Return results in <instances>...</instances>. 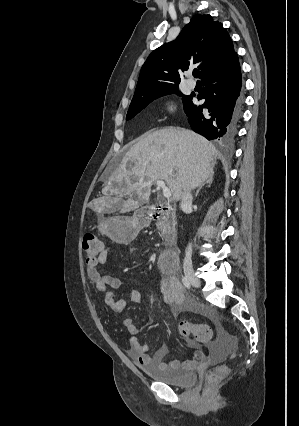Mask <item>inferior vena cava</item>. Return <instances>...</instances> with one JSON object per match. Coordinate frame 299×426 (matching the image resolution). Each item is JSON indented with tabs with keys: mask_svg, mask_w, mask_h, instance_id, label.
<instances>
[{
	"mask_svg": "<svg viewBox=\"0 0 299 426\" xmlns=\"http://www.w3.org/2000/svg\"><path fill=\"white\" fill-rule=\"evenodd\" d=\"M192 200H193V196L191 194V191L190 190H184L183 193H182L181 203H180L181 209L184 211V210L191 208L192 207ZM183 265H184L185 268L192 267V245H191V243H189V245L186 248V253H185Z\"/></svg>",
	"mask_w": 299,
	"mask_h": 426,
	"instance_id": "1",
	"label": "inferior vena cava"
}]
</instances>
